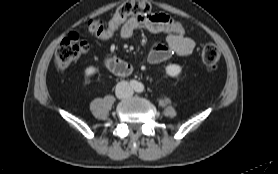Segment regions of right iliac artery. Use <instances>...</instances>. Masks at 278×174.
<instances>
[{"label": "right iliac artery", "mask_w": 278, "mask_h": 174, "mask_svg": "<svg viewBox=\"0 0 278 174\" xmlns=\"http://www.w3.org/2000/svg\"><path fill=\"white\" fill-rule=\"evenodd\" d=\"M137 84H138V83H137L135 80H131V81H130V85H131L132 88H136V87H137Z\"/></svg>", "instance_id": "right-iliac-artery-1"}]
</instances>
